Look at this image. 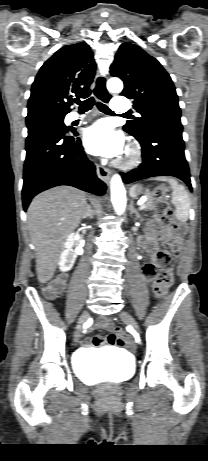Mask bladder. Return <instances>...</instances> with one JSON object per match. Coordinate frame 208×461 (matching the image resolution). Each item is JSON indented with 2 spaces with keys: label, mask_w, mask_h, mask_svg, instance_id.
<instances>
[{
  "label": "bladder",
  "mask_w": 208,
  "mask_h": 461,
  "mask_svg": "<svg viewBox=\"0 0 208 461\" xmlns=\"http://www.w3.org/2000/svg\"><path fill=\"white\" fill-rule=\"evenodd\" d=\"M74 369L82 379L89 382H123L132 375L133 361L123 354L108 351L99 359H93L90 353L84 352L75 358Z\"/></svg>",
  "instance_id": "31cf9c89"
}]
</instances>
